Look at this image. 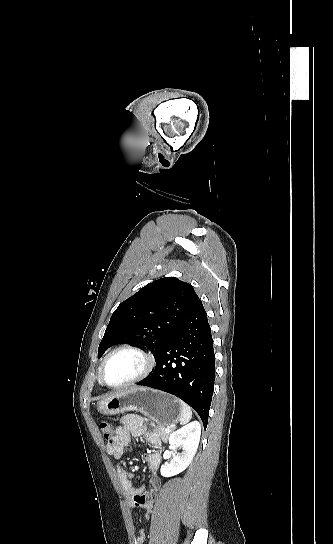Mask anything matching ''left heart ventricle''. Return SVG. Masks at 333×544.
<instances>
[{"label": "left heart ventricle", "mask_w": 333, "mask_h": 544, "mask_svg": "<svg viewBox=\"0 0 333 544\" xmlns=\"http://www.w3.org/2000/svg\"><path fill=\"white\" fill-rule=\"evenodd\" d=\"M142 367L143 360L138 354L122 351L109 359L104 370V377L111 385L121 384L136 376Z\"/></svg>", "instance_id": "1"}]
</instances>
